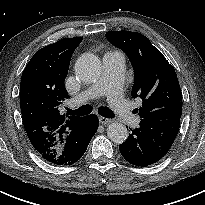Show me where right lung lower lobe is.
Listing matches in <instances>:
<instances>
[{
    "mask_svg": "<svg viewBox=\"0 0 205 205\" xmlns=\"http://www.w3.org/2000/svg\"><path fill=\"white\" fill-rule=\"evenodd\" d=\"M98 120L94 115L84 117L81 124L74 127L66 137L61 152L53 164L72 165L85 153L87 146L96 133Z\"/></svg>",
    "mask_w": 205,
    "mask_h": 205,
    "instance_id": "1",
    "label": "right lung lower lobe"
}]
</instances>
